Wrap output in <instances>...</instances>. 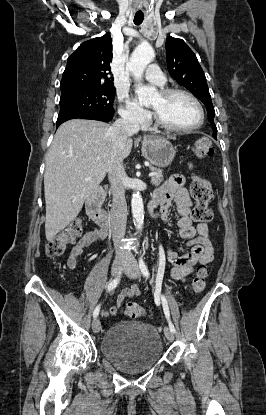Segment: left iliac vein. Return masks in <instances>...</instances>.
Wrapping results in <instances>:
<instances>
[{
    "label": "left iliac vein",
    "instance_id": "obj_1",
    "mask_svg": "<svg viewBox=\"0 0 266 415\" xmlns=\"http://www.w3.org/2000/svg\"><path fill=\"white\" fill-rule=\"evenodd\" d=\"M125 274L131 278L136 279L140 276L139 266L134 257H131L124 268ZM164 334L169 341L174 340V333L170 330V328H164Z\"/></svg>",
    "mask_w": 266,
    "mask_h": 415
}]
</instances>
